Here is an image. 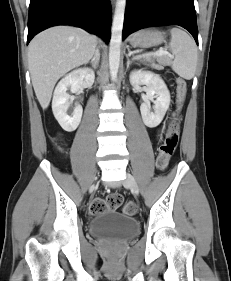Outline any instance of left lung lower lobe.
<instances>
[{
    "instance_id": "1",
    "label": "left lung lower lobe",
    "mask_w": 231,
    "mask_h": 281,
    "mask_svg": "<svg viewBox=\"0 0 231 281\" xmlns=\"http://www.w3.org/2000/svg\"><path fill=\"white\" fill-rule=\"evenodd\" d=\"M160 25L182 26L198 44L194 0H127L122 37Z\"/></svg>"
}]
</instances>
